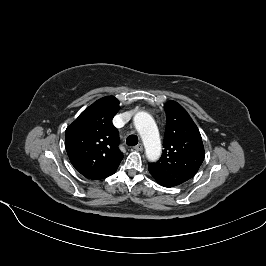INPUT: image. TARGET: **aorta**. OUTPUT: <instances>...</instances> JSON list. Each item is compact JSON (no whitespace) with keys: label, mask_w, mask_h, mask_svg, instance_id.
I'll list each match as a JSON object with an SVG mask.
<instances>
[{"label":"aorta","mask_w":266,"mask_h":266,"mask_svg":"<svg viewBox=\"0 0 266 266\" xmlns=\"http://www.w3.org/2000/svg\"><path fill=\"white\" fill-rule=\"evenodd\" d=\"M133 121L143 141L146 157L150 161L157 160L161 155V142L154 119L147 112L139 111Z\"/></svg>","instance_id":"762f6f07"}]
</instances>
